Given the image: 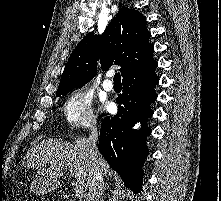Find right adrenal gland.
I'll list each match as a JSON object with an SVG mask.
<instances>
[{
	"label": "right adrenal gland",
	"instance_id": "2a0ac1e0",
	"mask_svg": "<svg viewBox=\"0 0 221 201\" xmlns=\"http://www.w3.org/2000/svg\"><path fill=\"white\" fill-rule=\"evenodd\" d=\"M106 188H109V185L107 183H103L100 196H102L106 190Z\"/></svg>",
	"mask_w": 221,
	"mask_h": 201
}]
</instances>
